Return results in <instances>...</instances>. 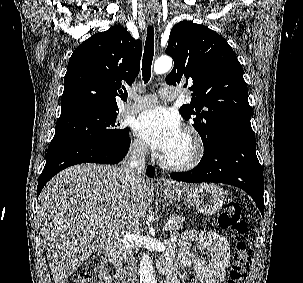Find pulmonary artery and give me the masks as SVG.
<instances>
[{
	"label": "pulmonary artery",
	"mask_w": 303,
	"mask_h": 283,
	"mask_svg": "<svg viewBox=\"0 0 303 283\" xmlns=\"http://www.w3.org/2000/svg\"><path fill=\"white\" fill-rule=\"evenodd\" d=\"M177 90L169 85H165L159 90V97L162 100L170 101L177 97ZM131 99H134V96L131 95ZM158 101V98L154 94H148L136 99L134 102L127 104L123 108V113L134 114L144 109L153 107Z\"/></svg>",
	"instance_id": "obj_1"
}]
</instances>
